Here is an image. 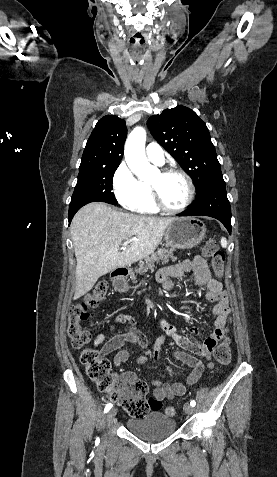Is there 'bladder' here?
I'll list each match as a JSON object with an SVG mask.
<instances>
[{"label":"bladder","mask_w":277,"mask_h":477,"mask_svg":"<svg viewBox=\"0 0 277 477\" xmlns=\"http://www.w3.org/2000/svg\"><path fill=\"white\" fill-rule=\"evenodd\" d=\"M126 427L136 436L154 441L173 434L176 430V421L168 415L152 411L143 417L128 419Z\"/></svg>","instance_id":"bladder-1"}]
</instances>
